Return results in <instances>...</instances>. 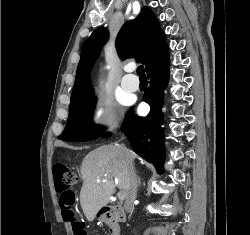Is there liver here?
Listing matches in <instances>:
<instances>
[{
	"label": "liver",
	"instance_id": "6515ba94",
	"mask_svg": "<svg viewBox=\"0 0 250 235\" xmlns=\"http://www.w3.org/2000/svg\"><path fill=\"white\" fill-rule=\"evenodd\" d=\"M81 175L80 203L90 222L109 203L115 181L126 192L130 184L128 167L120 157L118 146L114 145L101 146L89 152L82 162Z\"/></svg>",
	"mask_w": 250,
	"mask_h": 235
}]
</instances>
